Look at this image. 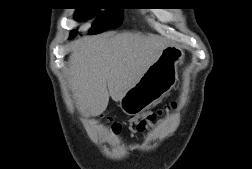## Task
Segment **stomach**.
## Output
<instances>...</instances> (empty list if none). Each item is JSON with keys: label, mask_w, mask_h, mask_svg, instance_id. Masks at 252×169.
Wrapping results in <instances>:
<instances>
[{"label": "stomach", "mask_w": 252, "mask_h": 169, "mask_svg": "<svg viewBox=\"0 0 252 169\" xmlns=\"http://www.w3.org/2000/svg\"><path fill=\"white\" fill-rule=\"evenodd\" d=\"M183 52L166 46L141 79L119 101L120 109L129 116H138L158 103L176 85L177 64Z\"/></svg>", "instance_id": "obj_1"}]
</instances>
